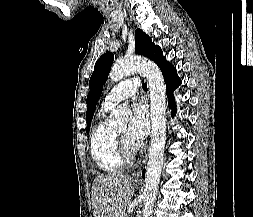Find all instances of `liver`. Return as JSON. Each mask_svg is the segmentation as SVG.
<instances>
[{"label":"liver","instance_id":"6515ba94","mask_svg":"<svg viewBox=\"0 0 253 217\" xmlns=\"http://www.w3.org/2000/svg\"><path fill=\"white\" fill-rule=\"evenodd\" d=\"M133 193L130 176L122 173L98 175L91 194L94 217H124Z\"/></svg>","mask_w":253,"mask_h":217}]
</instances>
